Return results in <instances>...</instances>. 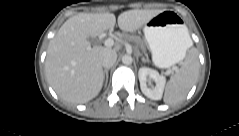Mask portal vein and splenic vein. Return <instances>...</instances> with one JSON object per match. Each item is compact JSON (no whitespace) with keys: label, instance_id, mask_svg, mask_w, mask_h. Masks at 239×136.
<instances>
[{"label":"portal vein and splenic vein","instance_id":"obj_1","mask_svg":"<svg viewBox=\"0 0 239 136\" xmlns=\"http://www.w3.org/2000/svg\"><path fill=\"white\" fill-rule=\"evenodd\" d=\"M114 40L112 39V38H108V39H106L105 41H104V45L106 46V47H112L113 45H114Z\"/></svg>","mask_w":239,"mask_h":136}]
</instances>
